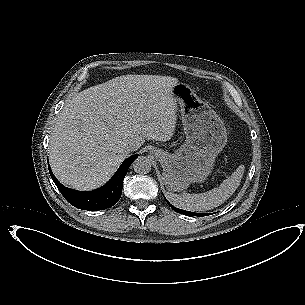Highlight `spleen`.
<instances>
[{
    "mask_svg": "<svg viewBox=\"0 0 305 305\" xmlns=\"http://www.w3.org/2000/svg\"><path fill=\"white\" fill-rule=\"evenodd\" d=\"M240 178L238 172H234L225 179L219 187L200 194H174L168 193L169 201L176 207L192 212L211 210L223 204L233 193V185Z\"/></svg>",
    "mask_w": 305,
    "mask_h": 305,
    "instance_id": "1",
    "label": "spleen"
}]
</instances>
